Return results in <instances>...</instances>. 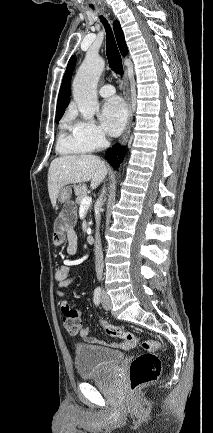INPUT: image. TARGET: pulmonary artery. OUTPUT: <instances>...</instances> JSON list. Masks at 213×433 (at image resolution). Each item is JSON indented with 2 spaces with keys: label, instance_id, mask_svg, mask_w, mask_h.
<instances>
[{
  "label": "pulmonary artery",
  "instance_id": "e3ab8cb5",
  "mask_svg": "<svg viewBox=\"0 0 213 433\" xmlns=\"http://www.w3.org/2000/svg\"><path fill=\"white\" fill-rule=\"evenodd\" d=\"M99 94L102 97H110L115 94V88L111 84H106L99 89Z\"/></svg>",
  "mask_w": 213,
  "mask_h": 433
}]
</instances>
